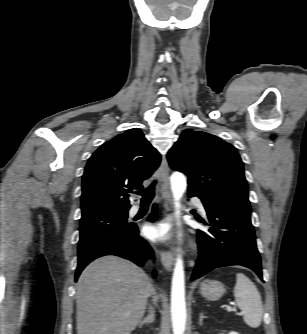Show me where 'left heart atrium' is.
<instances>
[{
    "label": "left heart atrium",
    "mask_w": 307,
    "mask_h": 334,
    "mask_svg": "<svg viewBox=\"0 0 307 334\" xmlns=\"http://www.w3.org/2000/svg\"><path fill=\"white\" fill-rule=\"evenodd\" d=\"M144 234L152 242H163L170 238L171 225L166 220L149 223L144 227Z\"/></svg>",
    "instance_id": "1"
}]
</instances>
